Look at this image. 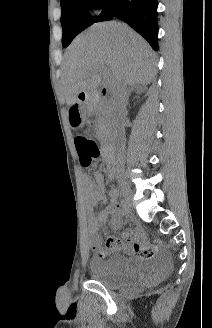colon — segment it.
I'll return each instance as SVG.
<instances>
[{
	"mask_svg": "<svg viewBox=\"0 0 212 328\" xmlns=\"http://www.w3.org/2000/svg\"><path fill=\"white\" fill-rule=\"evenodd\" d=\"M74 144L82 167H89L99 156V148L96 142L83 134L76 135ZM112 244L113 240L108 239L106 247L109 249Z\"/></svg>",
	"mask_w": 212,
	"mask_h": 328,
	"instance_id": "5ec220e1",
	"label": "colon"
}]
</instances>
